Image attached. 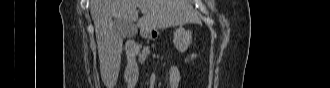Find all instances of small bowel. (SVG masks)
<instances>
[{"mask_svg":"<svg viewBox=\"0 0 330 88\" xmlns=\"http://www.w3.org/2000/svg\"><path fill=\"white\" fill-rule=\"evenodd\" d=\"M128 67H130L132 70H135L134 64H129ZM182 74L178 67L173 66L169 69L168 74V87L169 88H178L181 82Z\"/></svg>","mask_w":330,"mask_h":88,"instance_id":"c3829d8e","label":"small bowel"}]
</instances>
